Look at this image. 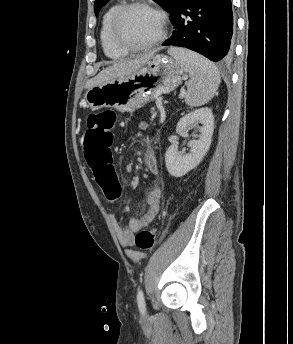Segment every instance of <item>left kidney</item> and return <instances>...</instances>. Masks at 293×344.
<instances>
[{"instance_id":"5707ae66","label":"left kidney","mask_w":293,"mask_h":344,"mask_svg":"<svg viewBox=\"0 0 293 344\" xmlns=\"http://www.w3.org/2000/svg\"><path fill=\"white\" fill-rule=\"evenodd\" d=\"M200 122V137L189 143L190 152L183 155L174 144L169 146L165 154L166 168L170 175L182 177L194 169L204 158L210 145L214 130V117L210 108H200L183 116L176 126V132L182 133L188 126Z\"/></svg>"}]
</instances>
